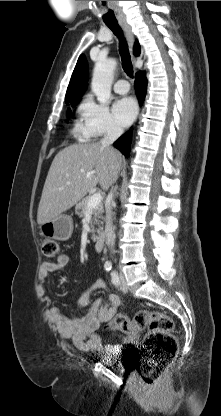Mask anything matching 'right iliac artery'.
Returning <instances> with one entry per match:
<instances>
[{
	"label": "right iliac artery",
	"instance_id": "82829eb1",
	"mask_svg": "<svg viewBox=\"0 0 221 416\" xmlns=\"http://www.w3.org/2000/svg\"><path fill=\"white\" fill-rule=\"evenodd\" d=\"M104 268H105L106 271H110L111 268H112V264L107 262V263L104 264Z\"/></svg>",
	"mask_w": 221,
	"mask_h": 416
}]
</instances>
